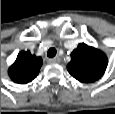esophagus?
Returning a JSON list of instances; mask_svg holds the SVG:
<instances>
[{
    "mask_svg": "<svg viewBox=\"0 0 115 114\" xmlns=\"http://www.w3.org/2000/svg\"><path fill=\"white\" fill-rule=\"evenodd\" d=\"M59 62H60L59 57H54V58L49 59V63L57 64Z\"/></svg>",
    "mask_w": 115,
    "mask_h": 114,
    "instance_id": "1",
    "label": "esophagus"
}]
</instances>
